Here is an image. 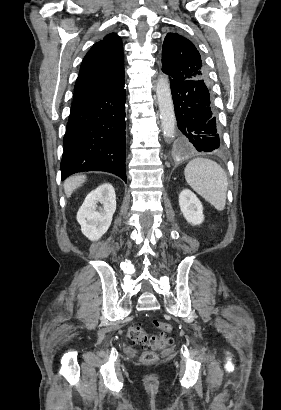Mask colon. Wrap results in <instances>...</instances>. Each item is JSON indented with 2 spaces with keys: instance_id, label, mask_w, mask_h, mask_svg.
I'll return each mask as SVG.
<instances>
[{
  "instance_id": "5ec220e1",
  "label": "colon",
  "mask_w": 281,
  "mask_h": 410,
  "mask_svg": "<svg viewBox=\"0 0 281 410\" xmlns=\"http://www.w3.org/2000/svg\"><path fill=\"white\" fill-rule=\"evenodd\" d=\"M153 325L163 333L159 335L147 334L141 325H132L127 331L130 341L140 344L146 349L141 356L142 361L146 363L156 360V350H162L173 343V338L168 335L173 330L170 323L155 320Z\"/></svg>"
}]
</instances>
